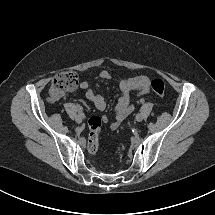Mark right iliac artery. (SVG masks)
Returning <instances> with one entry per match:
<instances>
[{"label": "right iliac artery", "instance_id": "obj_1", "mask_svg": "<svg viewBox=\"0 0 215 215\" xmlns=\"http://www.w3.org/2000/svg\"><path fill=\"white\" fill-rule=\"evenodd\" d=\"M78 114H79V116H81V117H85L84 116V113L82 112V110H81V108L78 106Z\"/></svg>", "mask_w": 215, "mask_h": 215}]
</instances>
